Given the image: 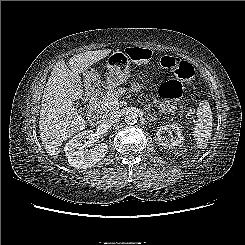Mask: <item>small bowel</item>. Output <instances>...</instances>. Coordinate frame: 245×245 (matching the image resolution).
<instances>
[{
  "label": "small bowel",
  "instance_id": "obj_1",
  "mask_svg": "<svg viewBox=\"0 0 245 245\" xmlns=\"http://www.w3.org/2000/svg\"><path fill=\"white\" fill-rule=\"evenodd\" d=\"M132 89H133L134 91H137V90L139 89V86H138L137 84H133V85H132Z\"/></svg>",
  "mask_w": 245,
  "mask_h": 245
}]
</instances>
